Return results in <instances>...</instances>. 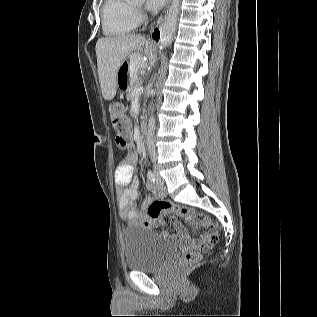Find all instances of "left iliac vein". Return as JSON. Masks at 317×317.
I'll use <instances>...</instances> for the list:
<instances>
[{"instance_id": "4c4485c4", "label": "left iliac vein", "mask_w": 317, "mask_h": 317, "mask_svg": "<svg viewBox=\"0 0 317 317\" xmlns=\"http://www.w3.org/2000/svg\"><path fill=\"white\" fill-rule=\"evenodd\" d=\"M156 174H157V185L162 186L164 184V180L163 178L159 175L158 170H156Z\"/></svg>"}]
</instances>
